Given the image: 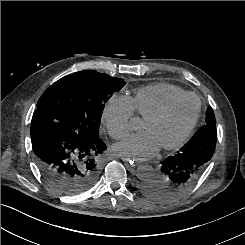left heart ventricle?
<instances>
[{"label":"left heart ventricle","mask_w":245,"mask_h":245,"mask_svg":"<svg viewBox=\"0 0 245 245\" xmlns=\"http://www.w3.org/2000/svg\"><path fill=\"white\" fill-rule=\"evenodd\" d=\"M198 108V101L188 97L176 105L162 118L144 122L143 129L150 132L160 147L178 140L192 123Z\"/></svg>","instance_id":"left-heart-ventricle-1"}]
</instances>
